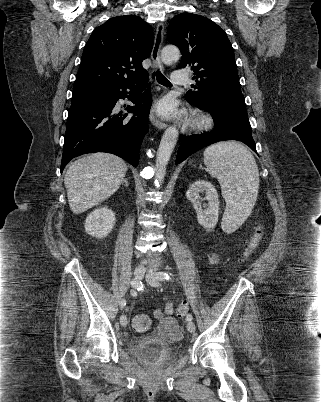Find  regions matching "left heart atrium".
Here are the masks:
<instances>
[{"label": "left heart atrium", "mask_w": 321, "mask_h": 402, "mask_svg": "<svg viewBox=\"0 0 321 402\" xmlns=\"http://www.w3.org/2000/svg\"><path fill=\"white\" fill-rule=\"evenodd\" d=\"M157 112L159 115L165 118H172L177 116L178 114L174 104L169 100H165L162 103H160V105L157 108Z\"/></svg>", "instance_id": "left-heart-atrium-1"}]
</instances>
